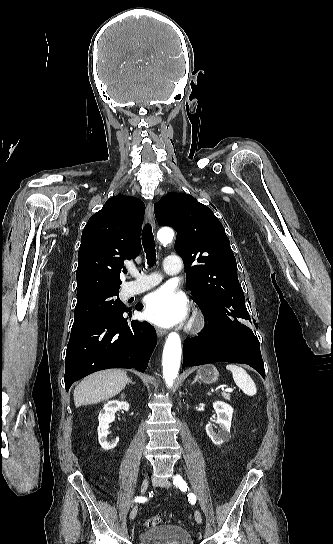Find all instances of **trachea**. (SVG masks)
<instances>
[{
	"label": "trachea",
	"instance_id": "3493384b",
	"mask_svg": "<svg viewBox=\"0 0 333 544\" xmlns=\"http://www.w3.org/2000/svg\"><path fill=\"white\" fill-rule=\"evenodd\" d=\"M142 244L146 253L147 264L152 266L156 262V250L152 227L146 224L142 233Z\"/></svg>",
	"mask_w": 333,
	"mask_h": 544
}]
</instances>
